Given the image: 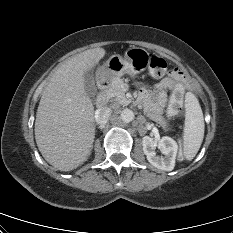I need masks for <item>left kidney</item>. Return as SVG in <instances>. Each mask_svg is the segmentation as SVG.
Instances as JSON below:
<instances>
[{
	"label": "left kidney",
	"instance_id": "left-kidney-1",
	"mask_svg": "<svg viewBox=\"0 0 233 233\" xmlns=\"http://www.w3.org/2000/svg\"><path fill=\"white\" fill-rule=\"evenodd\" d=\"M143 152L147 160L154 167L171 171L175 166V159L178 151L177 143L170 137H162L158 142L149 136L143 137L142 140ZM158 146L164 156H158L155 152V147Z\"/></svg>",
	"mask_w": 233,
	"mask_h": 233
}]
</instances>
